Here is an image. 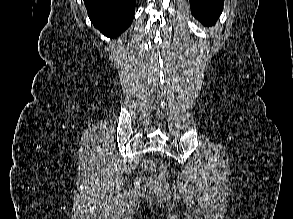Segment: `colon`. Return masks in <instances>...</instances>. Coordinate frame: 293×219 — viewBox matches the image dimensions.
<instances>
[{
	"label": "colon",
	"mask_w": 293,
	"mask_h": 219,
	"mask_svg": "<svg viewBox=\"0 0 293 219\" xmlns=\"http://www.w3.org/2000/svg\"><path fill=\"white\" fill-rule=\"evenodd\" d=\"M146 167L149 169H152L154 167V164L149 161L146 164ZM167 171V167L165 164H160L156 167L157 176H163ZM136 188L138 190H143L145 188V177L143 175H140L135 182Z\"/></svg>",
	"instance_id": "1"
}]
</instances>
